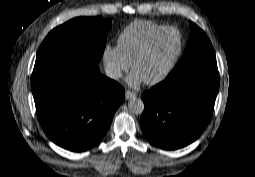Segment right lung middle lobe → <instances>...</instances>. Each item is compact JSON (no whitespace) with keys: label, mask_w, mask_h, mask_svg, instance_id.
<instances>
[{"label":"right lung middle lobe","mask_w":255,"mask_h":177,"mask_svg":"<svg viewBox=\"0 0 255 177\" xmlns=\"http://www.w3.org/2000/svg\"><path fill=\"white\" fill-rule=\"evenodd\" d=\"M111 20L77 17L53 29L42 42L36 62L70 57L98 64L104 52Z\"/></svg>","instance_id":"right-lung-middle-lobe-1"}]
</instances>
